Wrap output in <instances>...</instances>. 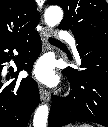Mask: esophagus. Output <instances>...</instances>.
<instances>
[{
	"label": "esophagus",
	"mask_w": 108,
	"mask_h": 127,
	"mask_svg": "<svg viewBox=\"0 0 108 127\" xmlns=\"http://www.w3.org/2000/svg\"><path fill=\"white\" fill-rule=\"evenodd\" d=\"M50 34H51L50 30L46 26H44L42 28L41 32H40L44 50H48L49 49V44H48L47 40H48V37L50 36ZM39 90H40V98H41V100L48 102L50 100L49 91L43 86H40Z\"/></svg>",
	"instance_id": "1"
}]
</instances>
